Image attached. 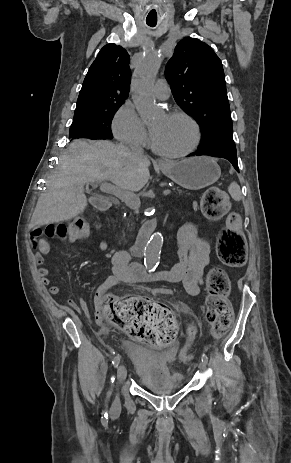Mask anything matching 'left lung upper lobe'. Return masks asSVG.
Segmentation results:
<instances>
[{"label": "left lung upper lobe", "mask_w": 291, "mask_h": 463, "mask_svg": "<svg viewBox=\"0 0 291 463\" xmlns=\"http://www.w3.org/2000/svg\"><path fill=\"white\" fill-rule=\"evenodd\" d=\"M165 73L176 102L200 126L198 149L236 152L224 71L213 49L187 37L177 44Z\"/></svg>", "instance_id": "left-lung-upper-lobe-1"}]
</instances>
